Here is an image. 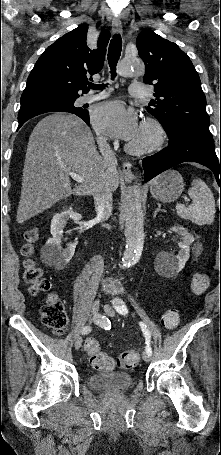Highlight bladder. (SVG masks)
I'll use <instances>...</instances> for the list:
<instances>
[{"instance_id": "bladder-1", "label": "bladder", "mask_w": 221, "mask_h": 455, "mask_svg": "<svg viewBox=\"0 0 221 455\" xmlns=\"http://www.w3.org/2000/svg\"><path fill=\"white\" fill-rule=\"evenodd\" d=\"M88 386L97 391L120 392L133 386V378L125 372L92 373L88 377Z\"/></svg>"}]
</instances>
